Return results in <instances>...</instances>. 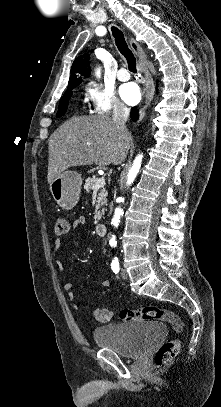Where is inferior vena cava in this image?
<instances>
[{"label": "inferior vena cava", "mask_w": 221, "mask_h": 407, "mask_svg": "<svg viewBox=\"0 0 221 407\" xmlns=\"http://www.w3.org/2000/svg\"><path fill=\"white\" fill-rule=\"evenodd\" d=\"M130 110L124 104L118 103L113 112V122L123 132L127 133L126 121L129 117Z\"/></svg>", "instance_id": "602c4592"}]
</instances>
